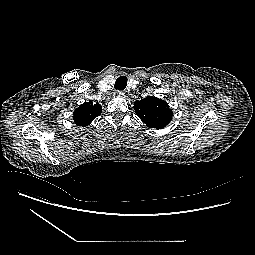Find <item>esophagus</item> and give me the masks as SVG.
<instances>
[{
	"mask_svg": "<svg viewBox=\"0 0 255 255\" xmlns=\"http://www.w3.org/2000/svg\"><path fill=\"white\" fill-rule=\"evenodd\" d=\"M115 95L118 97H123L125 95V93L123 91H116Z\"/></svg>",
	"mask_w": 255,
	"mask_h": 255,
	"instance_id": "esophagus-1",
	"label": "esophagus"
}]
</instances>
